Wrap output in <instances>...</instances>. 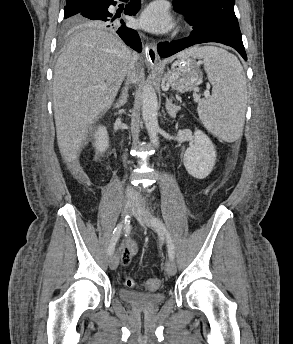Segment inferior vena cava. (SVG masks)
Returning a JSON list of instances; mask_svg holds the SVG:
<instances>
[{"label": "inferior vena cava", "mask_w": 293, "mask_h": 344, "mask_svg": "<svg viewBox=\"0 0 293 344\" xmlns=\"http://www.w3.org/2000/svg\"><path fill=\"white\" fill-rule=\"evenodd\" d=\"M138 58H139V55L137 53L132 54V61H133L134 65L137 63ZM134 73H135V71H133L127 75L126 84L132 82ZM138 196H139V194L133 188L127 189V197L128 198H135Z\"/></svg>", "instance_id": "602c4592"}]
</instances>
